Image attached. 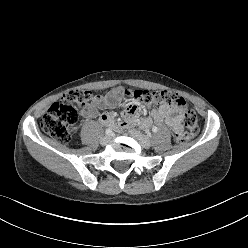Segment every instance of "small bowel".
Listing matches in <instances>:
<instances>
[{
	"instance_id": "small-bowel-1",
	"label": "small bowel",
	"mask_w": 248,
	"mask_h": 248,
	"mask_svg": "<svg viewBox=\"0 0 248 248\" xmlns=\"http://www.w3.org/2000/svg\"><path fill=\"white\" fill-rule=\"evenodd\" d=\"M129 100V91L124 86H115L110 91V94L103 97L97 96L94 100V105L87 109L84 114L87 117L94 118L99 115L100 111L112 106L114 109L121 108L124 105V122H115L110 113H102L99 116L100 122L109 128L116 130H124L131 121H138L140 126L147 128L153 123H166L170 129L176 134L183 131L182 127V113L172 108L169 105L163 104L155 109L149 117L139 118L137 106Z\"/></svg>"
}]
</instances>
